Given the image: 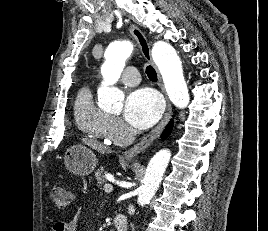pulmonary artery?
I'll use <instances>...</instances> for the list:
<instances>
[{
    "mask_svg": "<svg viewBox=\"0 0 268 231\" xmlns=\"http://www.w3.org/2000/svg\"><path fill=\"white\" fill-rule=\"evenodd\" d=\"M139 80V73L135 65L128 66L121 77V81L128 86L138 84Z\"/></svg>",
    "mask_w": 268,
    "mask_h": 231,
    "instance_id": "obj_1",
    "label": "pulmonary artery"
}]
</instances>
